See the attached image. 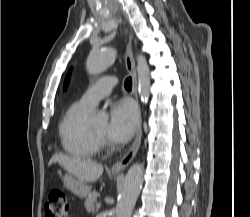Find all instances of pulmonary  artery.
<instances>
[{"mask_svg": "<svg viewBox=\"0 0 250 217\" xmlns=\"http://www.w3.org/2000/svg\"><path fill=\"white\" fill-rule=\"evenodd\" d=\"M117 82V79L113 76H105L99 79L84 92L80 101L85 105L94 108L99 100L111 93Z\"/></svg>", "mask_w": 250, "mask_h": 217, "instance_id": "1", "label": "pulmonary artery"}]
</instances>
